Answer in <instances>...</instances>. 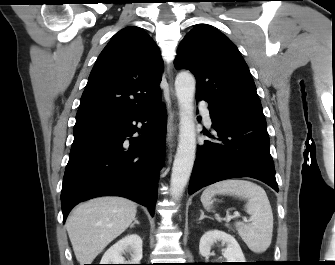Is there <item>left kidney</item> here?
<instances>
[{"mask_svg":"<svg viewBox=\"0 0 335 265\" xmlns=\"http://www.w3.org/2000/svg\"><path fill=\"white\" fill-rule=\"evenodd\" d=\"M218 241L226 244L223 256L227 262H245V257L236 239L232 235L220 230L208 231L201 237L199 244L200 254L208 258L211 255V247Z\"/></svg>","mask_w":335,"mask_h":265,"instance_id":"left-kidney-1","label":"left kidney"}]
</instances>
